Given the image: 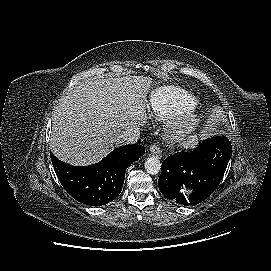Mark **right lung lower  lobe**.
Segmentation results:
<instances>
[{
  "mask_svg": "<svg viewBox=\"0 0 271 271\" xmlns=\"http://www.w3.org/2000/svg\"><path fill=\"white\" fill-rule=\"evenodd\" d=\"M145 152L139 145L114 149L100 162L83 167L60 161L51 152L56 175L65 190L77 201L101 206L113 201L121 192L126 169Z\"/></svg>",
  "mask_w": 271,
  "mask_h": 271,
  "instance_id": "1",
  "label": "right lung lower lobe"
}]
</instances>
